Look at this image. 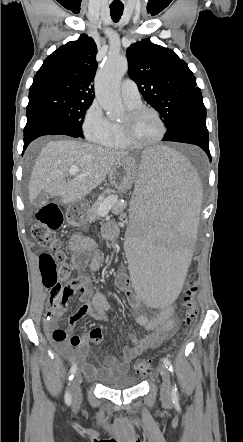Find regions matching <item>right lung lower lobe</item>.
Listing matches in <instances>:
<instances>
[{"instance_id":"1","label":"right lung lower lobe","mask_w":243,"mask_h":442,"mask_svg":"<svg viewBox=\"0 0 243 442\" xmlns=\"http://www.w3.org/2000/svg\"><path fill=\"white\" fill-rule=\"evenodd\" d=\"M27 124L24 128V148L36 138L44 135H68L81 137L68 124L55 116L43 112H33L27 115Z\"/></svg>"}]
</instances>
